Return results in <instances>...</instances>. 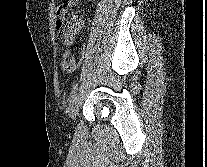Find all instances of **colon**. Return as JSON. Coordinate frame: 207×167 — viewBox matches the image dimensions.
Segmentation results:
<instances>
[{
    "label": "colon",
    "mask_w": 207,
    "mask_h": 167,
    "mask_svg": "<svg viewBox=\"0 0 207 167\" xmlns=\"http://www.w3.org/2000/svg\"><path fill=\"white\" fill-rule=\"evenodd\" d=\"M77 0H64L57 11V28L62 34V39L73 42L78 35L79 20L75 14Z\"/></svg>",
    "instance_id": "1"
}]
</instances>
